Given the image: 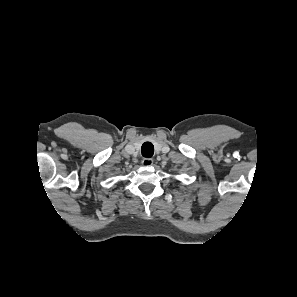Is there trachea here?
Instances as JSON below:
<instances>
[{"label": "trachea", "mask_w": 297, "mask_h": 297, "mask_svg": "<svg viewBox=\"0 0 297 297\" xmlns=\"http://www.w3.org/2000/svg\"><path fill=\"white\" fill-rule=\"evenodd\" d=\"M154 154V146L151 142H145L142 145V155L144 157H152Z\"/></svg>", "instance_id": "1"}]
</instances>
